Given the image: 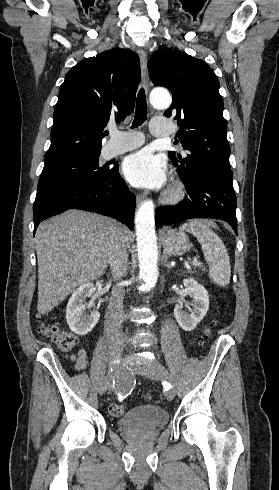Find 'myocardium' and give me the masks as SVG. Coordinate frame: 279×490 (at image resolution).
<instances>
[{
	"mask_svg": "<svg viewBox=\"0 0 279 490\" xmlns=\"http://www.w3.org/2000/svg\"><path fill=\"white\" fill-rule=\"evenodd\" d=\"M184 197V189L179 183H174L165 195V201L167 203H176Z\"/></svg>",
	"mask_w": 279,
	"mask_h": 490,
	"instance_id": "obj_1",
	"label": "myocardium"
}]
</instances>
